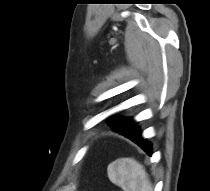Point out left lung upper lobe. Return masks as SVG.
Segmentation results:
<instances>
[{"label":"left lung upper lobe","instance_id":"left-lung-upper-lobe-1","mask_svg":"<svg viewBox=\"0 0 210 191\" xmlns=\"http://www.w3.org/2000/svg\"><path fill=\"white\" fill-rule=\"evenodd\" d=\"M108 126H110L115 132H118L122 135L131 133L137 129L135 123L128 118L110 116L107 121Z\"/></svg>","mask_w":210,"mask_h":191}]
</instances>
